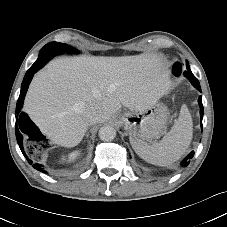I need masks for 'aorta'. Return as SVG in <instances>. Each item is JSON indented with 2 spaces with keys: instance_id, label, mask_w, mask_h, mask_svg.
<instances>
[{
  "instance_id": "762f6f07",
  "label": "aorta",
  "mask_w": 227,
  "mask_h": 227,
  "mask_svg": "<svg viewBox=\"0 0 227 227\" xmlns=\"http://www.w3.org/2000/svg\"><path fill=\"white\" fill-rule=\"evenodd\" d=\"M116 137V130L111 126H103L99 130V138L104 142L112 141Z\"/></svg>"
}]
</instances>
